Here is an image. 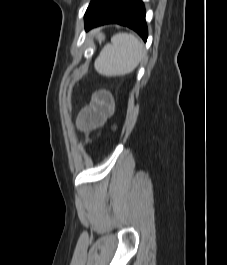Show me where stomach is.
<instances>
[{
    "instance_id": "0dacf381",
    "label": "stomach",
    "mask_w": 227,
    "mask_h": 265,
    "mask_svg": "<svg viewBox=\"0 0 227 265\" xmlns=\"http://www.w3.org/2000/svg\"><path fill=\"white\" fill-rule=\"evenodd\" d=\"M98 38H99V40H102V39H103V36L100 34V35L98 36Z\"/></svg>"
}]
</instances>
